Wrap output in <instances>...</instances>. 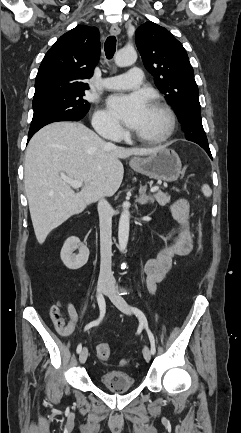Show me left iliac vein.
<instances>
[{
	"instance_id": "obj_1",
	"label": "left iliac vein",
	"mask_w": 241,
	"mask_h": 433,
	"mask_svg": "<svg viewBox=\"0 0 241 433\" xmlns=\"http://www.w3.org/2000/svg\"><path fill=\"white\" fill-rule=\"evenodd\" d=\"M106 293L108 295V297L110 298V300L112 301V303L122 312H124L125 314L131 315V310L129 305L127 304V302L124 300L123 297H121L113 284H109ZM143 356L145 358L146 361H149L151 359V351L147 346H144L143 348Z\"/></svg>"
}]
</instances>
